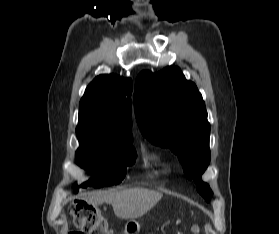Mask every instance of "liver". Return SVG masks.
<instances>
[{
    "instance_id": "obj_1",
    "label": "liver",
    "mask_w": 279,
    "mask_h": 234,
    "mask_svg": "<svg viewBox=\"0 0 279 234\" xmlns=\"http://www.w3.org/2000/svg\"><path fill=\"white\" fill-rule=\"evenodd\" d=\"M162 194L144 188H130L121 191L100 192L90 195L87 200L93 204L109 203L116 217L136 219L142 217L156 203Z\"/></svg>"
}]
</instances>
